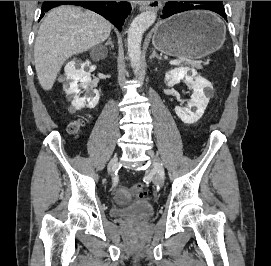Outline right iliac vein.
Listing matches in <instances>:
<instances>
[{"mask_svg":"<svg viewBox=\"0 0 271 266\" xmlns=\"http://www.w3.org/2000/svg\"><path fill=\"white\" fill-rule=\"evenodd\" d=\"M117 166H118V158H117V157H114V158L110 161V163H109V165H108V172H109V173L113 172L114 170L117 169Z\"/></svg>","mask_w":271,"mask_h":266,"instance_id":"right-iliac-vein-1","label":"right iliac vein"}]
</instances>
